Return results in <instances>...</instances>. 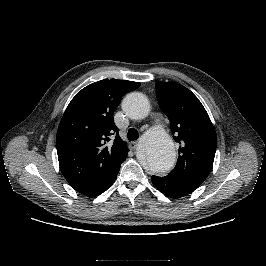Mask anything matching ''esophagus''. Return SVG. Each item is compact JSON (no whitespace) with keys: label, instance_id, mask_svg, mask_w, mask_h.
<instances>
[{"label":"esophagus","instance_id":"obj_1","mask_svg":"<svg viewBox=\"0 0 266 266\" xmlns=\"http://www.w3.org/2000/svg\"><path fill=\"white\" fill-rule=\"evenodd\" d=\"M137 142L136 141H132V142H130L129 143V147L132 149V150H134L136 147H137Z\"/></svg>","mask_w":266,"mask_h":266}]
</instances>
